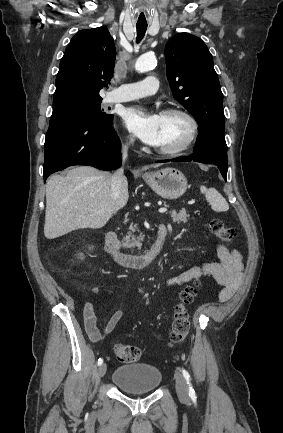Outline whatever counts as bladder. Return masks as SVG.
I'll list each match as a JSON object with an SVG mask.
<instances>
[{"label":"bladder","mask_w":283,"mask_h":433,"mask_svg":"<svg viewBox=\"0 0 283 433\" xmlns=\"http://www.w3.org/2000/svg\"><path fill=\"white\" fill-rule=\"evenodd\" d=\"M161 372L148 363L120 366L114 373L113 383L123 392H151L161 383Z\"/></svg>","instance_id":"obj_1"}]
</instances>
